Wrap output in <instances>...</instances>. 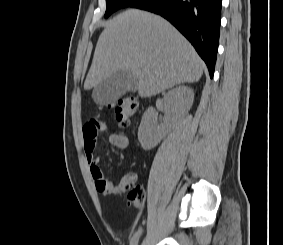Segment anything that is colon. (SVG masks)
<instances>
[{
    "mask_svg": "<svg viewBox=\"0 0 283 245\" xmlns=\"http://www.w3.org/2000/svg\"><path fill=\"white\" fill-rule=\"evenodd\" d=\"M109 107L114 110L119 125L125 127L129 125L131 118L137 111L138 101L132 97L121 98L109 105ZM124 191L126 192L127 201L130 204L138 208L143 206L145 195L140 186L133 184V182H128L124 186Z\"/></svg>",
    "mask_w": 283,
    "mask_h": 245,
    "instance_id": "colon-1",
    "label": "colon"
}]
</instances>
